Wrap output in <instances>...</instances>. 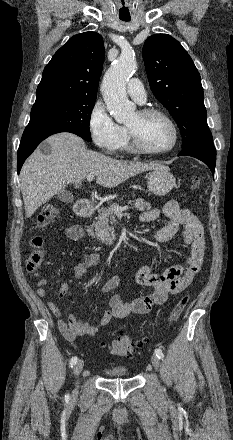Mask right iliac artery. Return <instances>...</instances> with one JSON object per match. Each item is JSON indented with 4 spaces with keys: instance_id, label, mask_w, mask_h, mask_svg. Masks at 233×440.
Segmentation results:
<instances>
[{
    "instance_id": "1",
    "label": "right iliac artery",
    "mask_w": 233,
    "mask_h": 440,
    "mask_svg": "<svg viewBox=\"0 0 233 440\" xmlns=\"http://www.w3.org/2000/svg\"><path fill=\"white\" fill-rule=\"evenodd\" d=\"M77 360H78V358L76 356L71 358V360H70V367L71 368L76 364ZM66 397H68V395Z\"/></svg>"
}]
</instances>
